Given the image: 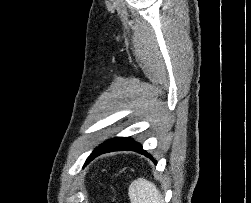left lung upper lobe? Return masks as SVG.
<instances>
[{
    "label": "left lung upper lobe",
    "mask_w": 251,
    "mask_h": 203,
    "mask_svg": "<svg viewBox=\"0 0 251 203\" xmlns=\"http://www.w3.org/2000/svg\"><path fill=\"white\" fill-rule=\"evenodd\" d=\"M109 141H110V140H108V141L104 142L103 144H105V143H107V142H109ZM103 144H102V145H103Z\"/></svg>",
    "instance_id": "1"
}]
</instances>
